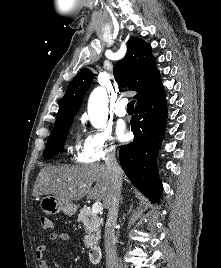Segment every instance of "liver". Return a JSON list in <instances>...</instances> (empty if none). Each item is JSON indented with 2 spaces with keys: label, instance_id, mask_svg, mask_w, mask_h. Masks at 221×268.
Masks as SVG:
<instances>
[{
  "label": "liver",
  "instance_id": "obj_1",
  "mask_svg": "<svg viewBox=\"0 0 221 268\" xmlns=\"http://www.w3.org/2000/svg\"><path fill=\"white\" fill-rule=\"evenodd\" d=\"M126 180L121 170V180ZM96 183L92 188V184ZM110 175L104 164L86 166H46L35 181L33 196L54 195L67 201L88 199L110 202Z\"/></svg>",
  "mask_w": 221,
  "mask_h": 268
}]
</instances>
